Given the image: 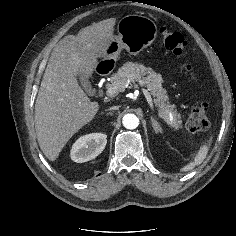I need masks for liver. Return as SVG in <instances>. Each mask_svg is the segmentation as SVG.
Returning <instances> with one entry per match:
<instances>
[{
    "label": "liver",
    "instance_id": "liver-1",
    "mask_svg": "<svg viewBox=\"0 0 236 236\" xmlns=\"http://www.w3.org/2000/svg\"><path fill=\"white\" fill-rule=\"evenodd\" d=\"M115 23L116 18H109L81 29L77 36H65L50 56L35 103V129L42 152L52 162L99 110L77 77L89 79L98 58H105Z\"/></svg>",
    "mask_w": 236,
    "mask_h": 236
}]
</instances>
